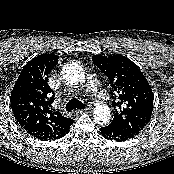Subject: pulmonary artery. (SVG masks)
Masks as SVG:
<instances>
[{"instance_id": "1", "label": "pulmonary artery", "mask_w": 174, "mask_h": 174, "mask_svg": "<svg viewBox=\"0 0 174 174\" xmlns=\"http://www.w3.org/2000/svg\"><path fill=\"white\" fill-rule=\"evenodd\" d=\"M87 87L89 88L90 91H92L95 97L99 99H104V95L102 91L99 89L97 80L92 76H90L87 80Z\"/></svg>"}]
</instances>
